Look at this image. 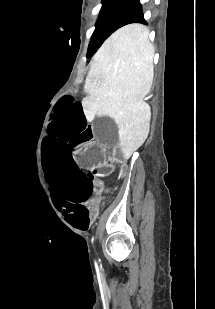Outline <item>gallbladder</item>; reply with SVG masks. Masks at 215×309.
<instances>
[{
    "mask_svg": "<svg viewBox=\"0 0 215 309\" xmlns=\"http://www.w3.org/2000/svg\"><path fill=\"white\" fill-rule=\"evenodd\" d=\"M92 132L94 136H98L101 144H105V148H116L119 133L108 117L100 115L98 121L92 125Z\"/></svg>",
    "mask_w": 215,
    "mask_h": 309,
    "instance_id": "obj_1",
    "label": "gallbladder"
}]
</instances>
